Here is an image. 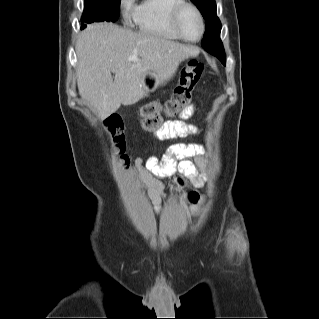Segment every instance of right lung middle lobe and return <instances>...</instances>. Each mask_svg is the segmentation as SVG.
Instances as JSON below:
<instances>
[{
    "label": "right lung middle lobe",
    "mask_w": 319,
    "mask_h": 319,
    "mask_svg": "<svg viewBox=\"0 0 319 319\" xmlns=\"http://www.w3.org/2000/svg\"><path fill=\"white\" fill-rule=\"evenodd\" d=\"M120 0H85L81 21L84 23L112 21L119 17ZM86 25L82 24L81 29Z\"/></svg>",
    "instance_id": "obj_1"
}]
</instances>
